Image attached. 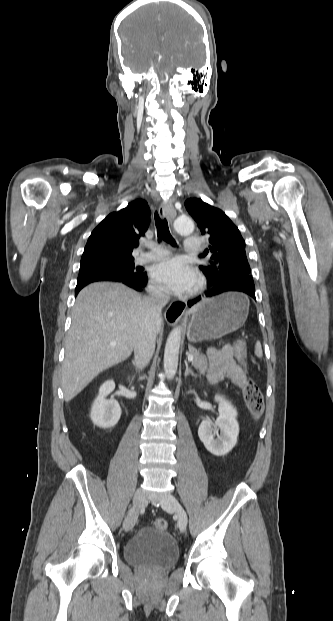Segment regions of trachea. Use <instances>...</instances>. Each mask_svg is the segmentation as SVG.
Returning <instances> with one entry per match:
<instances>
[{
    "mask_svg": "<svg viewBox=\"0 0 333 621\" xmlns=\"http://www.w3.org/2000/svg\"><path fill=\"white\" fill-rule=\"evenodd\" d=\"M155 225L157 228L158 241L164 240L172 246H176V242L170 234L167 220L161 219L157 211L155 212Z\"/></svg>",
    "mask_w": 333,
    "mask_h": 621,
    "instance_id": "obj_1",
    "label": "trachea"
}]
</instances>
